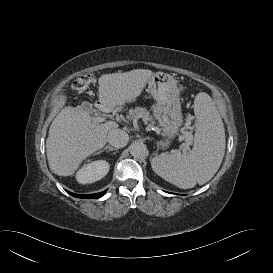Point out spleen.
<instances>
[{"label": "spleen", "instance_id": "1", "mask_svg": "<svg viewBox=\"0 0 273 273\" xmlns=\"http://www.w3.org/2000/svg\"><path fill=\"white\" fill-rule=\"evenodd\" d=\"M194 145L182 153H165L151 160L152 169L167 182L183 189L208 182L225 154V129L212 98L202 92L194 101Z\"/></svg>", "mask_w": 273, "mask_h": 273}]
</instances>
